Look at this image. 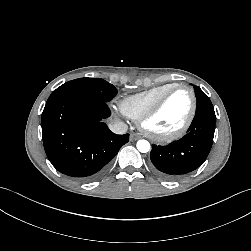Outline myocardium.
Returning a JSON list of instances; mask_svg holds the SVG:
<instances>
[{
  "label": "myocardium",
  "mask_w": 251,
  "mask_h": 251,
  "mask_svg": "<svg viewBox=\"0 0 251 251\" xmlns=\"http://www.w3.org/2000/svg\"><path fill=\"white\" fill-rule=\"evenodd\" d=\"M181 89H185L189 91L192 98L191 110L186 121L183 123V125L179 129L168 134H157V133L152 132L147 126L148 122L160 111V109L164 105L167 98L173 92L177 90H181ZM196 112H197V97H196L195 91L190 86L177 84L171 87L170 89H168L165 93H163L157 99V101L140 117V119L138 120V125H139L140 130L148 138L154 141H158V142H171L176 139H179L187 132L192 122L194 121Z\"/></svg>",
  "instance_id": "obj_1"
}]
</instances>
